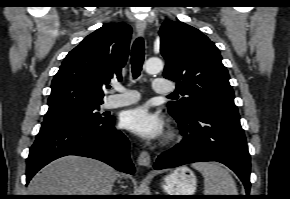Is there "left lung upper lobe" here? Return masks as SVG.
<instances>
[{"mask_svg": "<svg viewBox=\"0 0 290 199\" xmlns=\"http://www.w3.org/2000/svg\"><path fill=\"white\" fill-rule=\"evenodd\" d=\"M166 59L163 76L177 82L183 97L169 102L168 111L182 118L195 108L239 117L229 74L218 48L198 29L180 21H165L159 31Z\"/></svg>", "mask_w": 290, "mask_h": 199, "instance_id": "left-lung-upper-lobe-1", "label": "left lung upper lobe"}]
</instances>
